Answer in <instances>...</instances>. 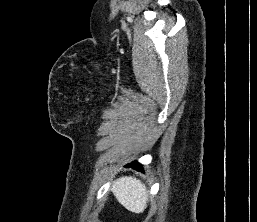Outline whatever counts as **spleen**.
Listing matches in <instances>:
<instances>
[{"mask_svg":"<svg viewBox=\"0 0 257 222\" xmlns=\"http://www.w3.org/2000/svg\"><path fill=\"white\" fill-rule=\"evenodd\" d=\"M111 191L118 202L131 212L142 213L147 207L148 191L136 178L126 176L117 179Z\"/></svg>","mask_w":257,"mask_h":222,"instance_id":"spleen-1","label":"spleen"}]
</instances>
